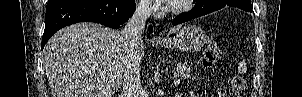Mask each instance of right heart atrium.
Returning a JSON list of instances; mask_svg holds the SVG:
<instances>
[{
    "mask_svg": "<svg viewBox=\"0 0 302 97\" xmlns=\"http://www.w3.org/2000/svg\"><path fill=\"white\" fill-rule=\"evenodd\" d=\"M140 10H141L143 13H145V14H148V13H150V11H151V9H150L148 3H146L145 5L142 4L141 7H140Z\"/></svg>",
    "mask_w": 302,
    "mask_h": 97,
    "instance_id": "1",
    "label": "right heart atrium"
}]
</instances>
